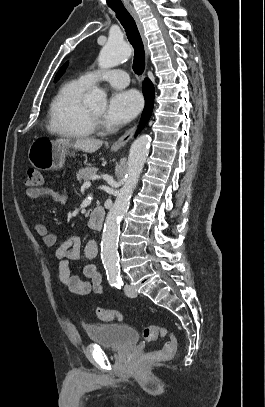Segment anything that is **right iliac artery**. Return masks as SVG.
<instances>
[{
    "label": "right iliac artery",
    "instance_id": "82829eb1",
    "mask_svg": "<svg viewBox=\"0 0 265 407\" xmlns=\"http://www.w3.org/2000/svg\"><path fill=\"white\" fill-rule=\"evenodd\" d=\"M111 286H113L112 282L110 281Z\"/></svg>",
    "mask_w": 265,
    "mask_h": 407
}]
</instances>
